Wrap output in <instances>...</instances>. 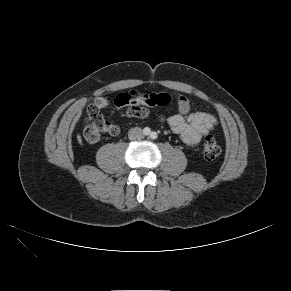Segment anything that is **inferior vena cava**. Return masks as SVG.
<instances>
[{
    "label": "inferior vena cava",
    "mask_w": 291,
    "mask_h": 291,
    "mask_svg": "<svg viewBox=\"0 0 291 291\" xmlns=\"http://www.w3.org/2000/svg\"><path fill=\"white\" fill-rule=\"evenodd\" d=\"M128 137L130 140L141 139L143 137L142 129L139 127L130 129V131L128 132Z\"/></svg>",
    "instance_id": "inferior-vena-cava-1"
}]
</instances>
